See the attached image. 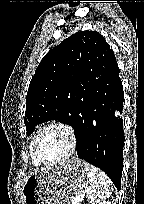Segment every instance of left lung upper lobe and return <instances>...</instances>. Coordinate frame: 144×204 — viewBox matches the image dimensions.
Returning a JSON list of instances; mask_svg holds the SVG:
<instances>
[{
  "label": "left lung upper lobe",
  "instance_id": "5c2ea615",
  "mask_svg": "<svg viewBox=\"0 0 144 204\" xmlns=\"http://www.w3.org/2000/svg\"><path fill=\"white\" fill-rule=\"evenodd\" d=\"M115 56L105 38L95 31L77 32L50 50L38 65L26 97L27 135L49 120L70 124L77 134L90 86L101 63Z\"/></svg>",
  "mask_w": 144,
  "mask_h": 204
}]
</instances>
